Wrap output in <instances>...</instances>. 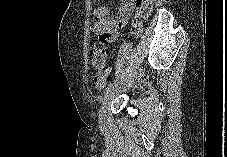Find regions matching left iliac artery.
<instances>
[{"label": "left iliac artery", "mask_w": 227, "mask_h": 157, "mask_svg": "<svg viewBox=\"0 0 227 157\" xmlns=\"http://www.w3.org/2000/svg\"><path fill=\"white\" fill-rule=\"evenodd\" d=\"M118 85V81H114L113 83H110L109 85H108V87L106 88V92L107 91H110L111 89H113L115 86H117Z\"/></svg>", "instance_id": "1"}]
</instances>
